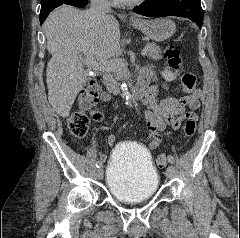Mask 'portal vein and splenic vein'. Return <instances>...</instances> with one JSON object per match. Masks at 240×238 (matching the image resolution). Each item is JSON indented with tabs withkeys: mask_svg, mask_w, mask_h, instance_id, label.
Masks as SVG:
<instances>
[{
	"mask_svg": "<svg viewBox=\"0 0 240 238\" xmlns=\"http://www.w3.org/2000/svg\"><path fill=\"white\" fill-rule=\"evenodd\" d=\"M149 50H150V47L148 45H146L143 48L141 54L145 55L148 53ZM79 57L82 60V62H84L88 67L102 69V70H106V71L114 69L115 66L119 63L118 60H110V61L102 60V61L97 62L95 60V58H93V57H88L85 59H83L81 55Z\"/></svg>",
	"mask_w": 240,
	"mask_h": 238,
	"instance_id": "18ae733b",
	"label": "portal vein and splenic vein"
}]
</instances>
